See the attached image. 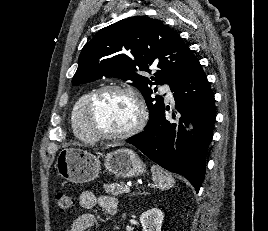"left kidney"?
Here are the masks:
<instances>
[{"mask_svg": "<svg viewBox=\"0 0 268 231\" xmlns=\"http://www.w3.org/2000/svg\"><path fill=\"white\" fill-rule=\"evenodd\" d=\"M164 214L158 208H151L140 215L143 231H161Z\"/></svg>", "mask_w": 268, "mask_h": 231, "instance_id": "5707ae66", "label": "left kidney"}]
</instances>
